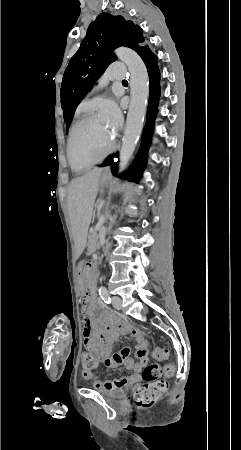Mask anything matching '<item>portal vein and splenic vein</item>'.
<instances>
[{
  "label": "portal vein and splenic vein",
  "instance_id": "1",
  "mask_svg": "<svg viewBox=\"0 0 241 450\" xmlns=\"http://www.w3.org/2000/svg\"><path fill=\"white\" fill-rule=\"evenodd\" d=\"M104 214H105V213H104ZM106 214H107V213H106ZM102 220H103V219H102ZM96 224H97V226H96V228H95L96 231H98V232L101 231V229H102L101 226H103V221H100V220H99V221H97Z\"/></svg>",
  "mask_w": 241,
  "mask_h": 450
}]
</instances>
